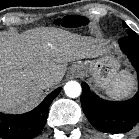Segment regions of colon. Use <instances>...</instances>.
<instances>
[{
	"mask_svg": "<svg viewBox=\"0 0 139 139\" xmlns=\"http://www.w3.org/2000/svg\"><path fill=\"white\" fill-rule=\"evenodd\" d=\"M80 22V19L78 16H65L63 18H59L56 20V23L58 25L64 26V27H76L78 26Z\"/></svg>",
	"mask_w": 139,
	"mask_h": 139,
	"instance_id": "1",
	"label": "colon"
}]
</instances>
